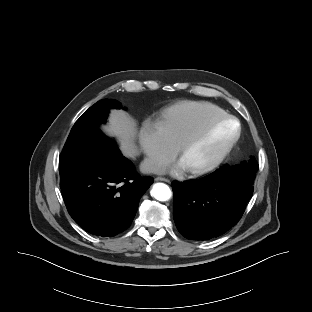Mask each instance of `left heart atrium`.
<instances>
[{"mask_svg":"<svg viewBox=\"0 0 312 312\" xmlns=\"http://www.w3.org/2000/svg\"><path fill=\"white\" fill-rule=\"evenodd\" d=\"M188 169L186 163L180 159L172 168V173H180Z\"/></svg>","mask_w":312,"mask_h":312,"instance_id":"obj_1","label":"left heart atrium"}]
</instances>
